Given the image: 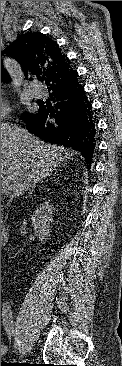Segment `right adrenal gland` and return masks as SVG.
Wrapping results in <instances>:
<instances>
[{
  "label": "right adrenal gland",
  "mask_w": 122,
  "mask_h": 366,
  "mask_svg": "<svg viewBox=\"0 0 122 366\" xmlns=\"http://www.w3.org/2000/svg\"><path fill=\"white\" fill-rule=\"evenodd\" d=\"M36 187V184H34L33 185V187H32V191H33V189ZM32 191L30 190V194H32Z\"/></svg>",
  "instance_id": "right-adrenal-gland-1"
}]
</instances>
